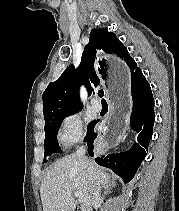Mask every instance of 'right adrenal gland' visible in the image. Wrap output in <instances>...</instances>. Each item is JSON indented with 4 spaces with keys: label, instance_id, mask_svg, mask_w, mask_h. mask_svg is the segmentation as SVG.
Returning <instances> with one entry per match:
<instances>
[{
    "label": "right adrenal gland",
    "instance_id": "right-adrenal-gland-1",
    "mask_svg": "<svg viewBox=\"0 0 179 211\" xmlns=\"http://www.w3.org/2000/svg\"><path fill=\"white\" fill-rule=\"evenodd\" d=\"M116 184H115V182H111L110 184H109V186L112 188V187H114ZM110 192V188H108V189H106L105 191H104V194H106V193H109Z\"/></svg>",
    "mask_w": 179,
    "mask_h": 211
}]
</instances>
